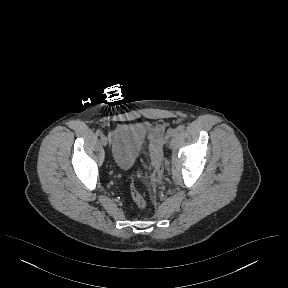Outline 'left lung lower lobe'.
<instances>
[{"instance_id": "obj_1", "label": "left lung lower lobe", "mask_w": 288, "mask_h": 288, "mask_svg": "<svg viewBox=\"0 0 288 288\" xmlns=\"http://www.w3.org/2000/svg\"><path fill=\"white\" fill-rule=\"evenodd\" d=\"M266 209L267 204L263 197H260L250 212L247 218L255 217V220L250 224L248 230L252 233L261 232L266 222Z\"/></svg>"}]
</instances>
